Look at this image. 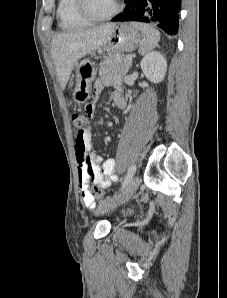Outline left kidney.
<instances>
[{
  "label": "left kidney",
  "mask_w": 227,
  "mask_h": 298,
  "mask_svg": "<svg viewBox=\"0 0 227 298\" xmlns=\"http://www.w3.org/2000/svg\"><path fill=\"white\" fill-rule=\"evenodd\" d=\"M146 78L153 83L161 82L166 74L167 62L164 56L157 51L148 53L140 63Z\"/></svg>",
  "instance_id": "5707ae66"
}]
</instances>
